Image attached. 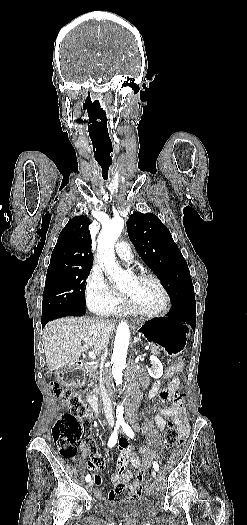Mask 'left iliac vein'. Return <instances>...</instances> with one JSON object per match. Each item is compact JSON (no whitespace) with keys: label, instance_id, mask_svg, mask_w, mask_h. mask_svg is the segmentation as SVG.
<instances>
[{"label":"left iliac vein","instance_id":"obj_1","mask_svg":"<svg viewBox=\"0 0 247 525\" xmlns=\"http://www.w3.org/2000/svg\"><path fill=\"white\" fill-rule=\"evenodd\" d=\"M157 476V473L155 470L152 471V477L155 478Z\"/></svg>","mask_w":247,"mask_h":525}]
</instances>
